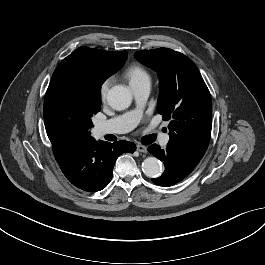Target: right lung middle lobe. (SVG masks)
I'll return each instance as SVG.
<instances>
[{"instance_id": "1", "label": "right lung middle lobe", "mask_w": 265, "mask_h": 265, "mask_svg": "<svg viewBox=\"0 0 265 265\" xmlns=\"http://www.w3.org/2000/svg\"><path fill=\"white\" fill-rule=\"evenodd\" d=\"M115 60L80 47L56 68L44 100V122L50 139L71 142L90 135L91 117L100 111L101 85L117 72Z\"/></svg>"}]
</instances>
